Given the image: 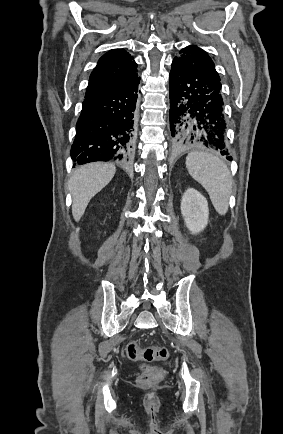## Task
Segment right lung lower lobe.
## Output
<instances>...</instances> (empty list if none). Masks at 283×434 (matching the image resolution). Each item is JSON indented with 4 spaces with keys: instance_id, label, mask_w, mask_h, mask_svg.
<instances>
[{
    "instance_id": "obj_1",
    "label": "right lung lower lobe",
    "mask_w": 283,
    "mask_h": 434,
    "mask_svg": "<svg viewBox=\"0 0 283 434\" xmlns=\"http://www.w3.org/2000/svg\"><path fill=\"white\" fill-rule=\"evenodd\" d=\"M139 81L137 76L122 88L85 98L70 152L75 162L128 161Z\"/></svg>"
}]
</instances>
